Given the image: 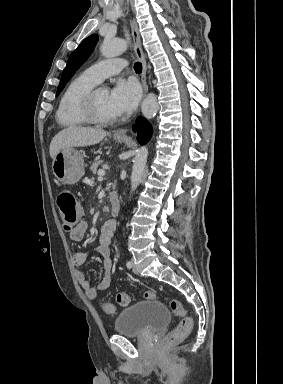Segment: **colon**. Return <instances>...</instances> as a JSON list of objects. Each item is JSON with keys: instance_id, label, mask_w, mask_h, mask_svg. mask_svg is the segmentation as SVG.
Listing matches in <instances>:
<instances>
[{"instance_id": "5ec220e1", "label": "colon", "mask_w": 283, "mask_h": 384, "mask_svg": "<svg viewBox=\"0 0 283 384\" xmlns=\"http://www.w3.org/2000/svg\"><path fill=\"white\" fill-rule=\"evenodd\" d=\"M57 206L59 208L62 224L66 230H72L80 221L81 213L74 195L69 191H61L57 195ZM148 300L157 298V293L154 290H148L144 293ZM116 301L119 305H127L130 301L129 295L125 292H120L116 295ZM172 313L181 317V321L177 327L167 334L163 340V345L166 347L175 345L181 342L191 332L193 327V319L188 316L186 309L177 299L168 300ZM102 309L107 314L114 312V305L110 302H104Z\"/></svg>"}]
</instances>
